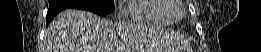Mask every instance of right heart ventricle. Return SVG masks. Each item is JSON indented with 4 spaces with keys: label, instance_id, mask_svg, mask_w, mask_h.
Instances as JSON below:
<instances>
[{
    "label": "right heart ventricle",
    "instance_id": "obj_1",
    "mask_svg": "<svg viewBox=\"0 0 261 52\" xmlns=\"http://www.w3.org/2000/svg\"><path fill=\"white\" fill-rule=\"evenodd\" d=\"M170 0H131L124 8L125 21L142 24H172Z\"/></svg>",
    "mask_w": 261,
    "mask_h": 52
}]
</instances>
